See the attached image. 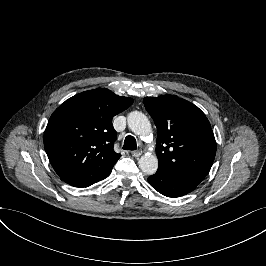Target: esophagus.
I'll return each instance as SVG.
<instances>
[{
	"instance_id": "esophagus-1",
	"label": "esophagus",
	"mask_w": 266,
	"mask_h": 266,
	"mask_svg": "<svg viewBox=\"0 0 266 266\" xmlns=\"http://www.w3.org/2000/svg\"><path fill=\"white\" fill-rule=\"evenodd\" d=\"M131 155L135 158L140 157L142 155V151L141 150H137V151H132Z\"/></svg>"
}]
</instances>
